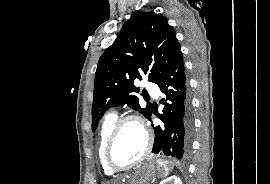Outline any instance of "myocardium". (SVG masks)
<instances>
[{"label": "myocardium", "mask_w": 270, "mask_h": 184, "mask_svg": "<svg viewBox=\"0 0 270 184\" xmlns=\"http://www.w3.org/2000/svg\"><path fill=\"white\" fill-rule=\"evenodd\" d=\"M128 122H135L142 128V130L145 134V138H146V145H145V149H144L142 155L137 160L133 161L132 163H130L128 165L118 166L112 162L111 152H112L114 143L118 137V134H119L121 128ZM152 145H153L152 135H151L150 131L148 130L147 126L145 125L144 121L140 117H138L136 115H126L124 117H121L115 122V124L110 132V135L107 139L105 149H104L105 164L113 172H120V171L129 170V169L139 165L140 163H142L149 156V154L152 150Z\"/></svg>", "instance_id": "f54148a6"}]
</instances>
